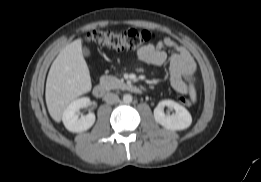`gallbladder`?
Segmentation results:
<instances>
[{
	"mask_svg": "<svg viewBox=\"0 0 261 182\" xmlns=\"http://www.w3.org/2000/svg\"><path fill=\"white\" fill-rule=\"evenodd\" d=\"M83 54H84L85 57H89L90 54H91L89 48L84 47L83 48Z\"/></svg>",
	"mask_w": 261,
	"mask_h": 182,
	"instance_id": "bac80fb5",
	"label": "gallbladder"
}]
</instances>
